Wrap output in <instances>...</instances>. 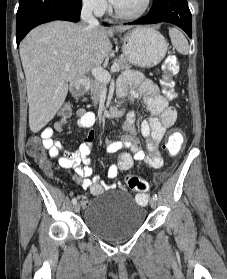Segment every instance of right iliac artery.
I'll list each match as a JSON object with an SVG mask.
<instances>
[{
	"instance_id": "obj_1",
	"label": "right iliac artery",
	"mask_w": 227,
	"mask_h": 279,
	"mask_svg": "<svg viewBox=\"0 0 227 279\" xmlns=\"http://www.w3.org/2000/svg\"><path fill=\"white\" fill-rule=\"evenodd\" d=\"M72 203H73V204H76V203H77V199H76V198H73V199H72Z\"/></svg>"
}]
</instances>
